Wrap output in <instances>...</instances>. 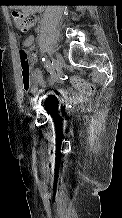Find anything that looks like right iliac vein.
Masks as SVG:
<instances>
[{
	"label": "right iliac vein",
	"instance_id": "obj_1",
	"mask_svg": "<svg viewBox=\"0 0 122 218\" xmlns=\"http://www.w3.org/2000/svg\"><path fill=\"white\" fill-rule=\"evenodd\" d=\"M54 69L60 73L63 67V59L60 54H56L55 58L53 59Z\"/></svg>",
	"mask_w": 122,
	"mask_h": 218
}]
</instances>
